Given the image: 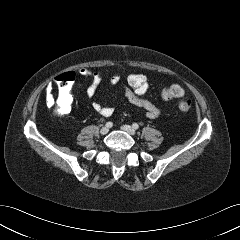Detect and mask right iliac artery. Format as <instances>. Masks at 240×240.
Returning a JSON list of instances; mask_svg holds the SVG:
<instances>
[{
    "label": "right iliac artery",
    "mask_w": 240,
    "mask_h": 240,
    "mask_svg": "<svg viewBox=\"0 0 240 240\" xmlns=\"http://www.w3.org/2000/svg\"><path fill=\"white\" fill-rule=\"evenodd\" d=\"M112 126H113V123H112V122H107V123H106V127L111 128Z\"/></svg>",
    "instance_id": "82829eb1"
}]
</instances>
